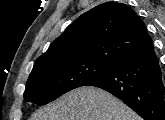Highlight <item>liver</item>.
Masks as SVG:
<instances>
[{
  "mask_svg": "<svg viewBox=\"0 0 165 120\" xmlns=\"http://www.w3.org/2000/svg\"><path fill=\"white\" fill-rule=\"evenodd\" d=\"M31 120H141V117L110 93L83 86L39 109Z\"/></svg>",
  "mask_w": 165,
  "mask_h": 120,
  "instance_id": "6515ba94",
  "label": "liver"
}]
</instances>
